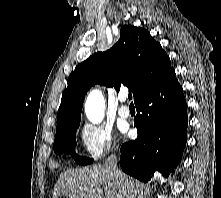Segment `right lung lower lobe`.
<instances>
[{
  "instance_id": "1",
  "label": "right lung lower lobe",
  "mask_w": 221,
  "mask_h": 198,
  "mask_svg": "<svg viewBox=\"0 0 221 198\" xmlns=\"http://www.w3.org/2000/svg\"><path fill=\"white\" fill-rule=\"evenodd\" d=\"M136 140L121 146L122 170L147 182L157 170L165 177L182 158L187 138V106L175 71L169 72L136 102Z\"/></svg>"
}]
</instances>
